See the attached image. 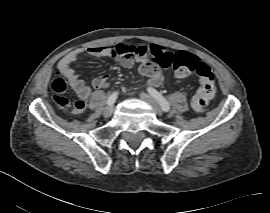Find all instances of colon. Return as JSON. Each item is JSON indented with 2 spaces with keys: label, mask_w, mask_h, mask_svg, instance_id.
<instances>
[{
  "label": "colon",
  "mask_w": 270,
  "mask_h": 213,
  "mask_svg": "<svg viewBox=\"0 0 270 213\" xmlns=\"http://www.w3.org/2000/svg\"><path fill=\"white\" fill-rule=\"evenodd\" d=\"M114 49L116 54L122 57L136 56L143 59L150 57L147 49L144 46L119 43L114 46ZM153 57L164 68L173 67L175 76L177 78H184L192 71L196 72L201 85L192 98L191 106L195 112H202L216 92L214 74L210 67L207 64L200 62L196 55L183 51L174 54L172 60H170L167 56H162L161 54L154 55ZM52 90L54 91V101L58 105L67 107L72 111L83 110V102H69L66 98H64L62 95L64 91H62L60 87L59 80H55L52 83Z\"/></svg>",
  "instance_id": "1"
}]
</instances>
